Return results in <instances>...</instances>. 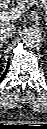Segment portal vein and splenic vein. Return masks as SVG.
<instances>
[{
  "mask_svg": "<svg viewBox=\"0 0 47 129\" xmlns=\"http://www.w3.org/2000/svg\"><path fill=\"white\" fill-rule=\"evenodd\" d=\"M24 13V7H15L12 8L9 12H1L0 14V18L2 20H6V19H16L19 18L22 14Z\"/></svg>",
  "mask_w": 47,
  "mask_h": 129,
  "instance_id": "portal-vein-and-splenic-vein-1",
  "label": "portal vein and splenic vein"
}]
</instances>
